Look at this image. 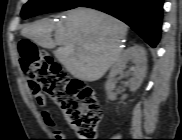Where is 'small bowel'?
<instances>
[{"mask_svg":"<svg viewBox=\"0 0 182 140\" xmlns=\"http://www.w3.org/2000/svg\"><path fill=\"white\" fill-rule=\"evenodd\" d=\"M38 103L41 105V106H44L45 102L43 99H37ZM42 117L45 121V123L51 127H54L55 126V123L51 117V114L48 110H43L42 111ZM58 136H61V133L59 131H56L55 132Z\"/></svg>","mask_w":182,"mask_h":140,"instance_id":"c3829d8e","label":"small bowel"}]
</instances>
